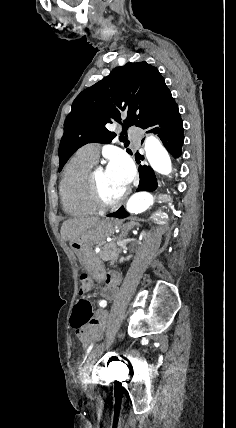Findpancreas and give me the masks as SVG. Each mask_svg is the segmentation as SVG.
I'll return each mask as SVG.
<instances>
[{
	"label": "pancreas",
	"mask_w": 236,
	"mask_h": 428,
	"mask_svg": "<svg viewBox=\"0 0 236 428\" xmlns=\"http://www.w3.org/2000/svg\"><path fill=\"white\" fill-rule=\"evenodd\" d=\"M116 252L117 250L114 240L111 244H105V246H102V248H100V252H98V256L101 260H104V262H108V260H114V258H116Z\"/></svg>",
	"instance_id": "obj_1"
}]
</instances>
